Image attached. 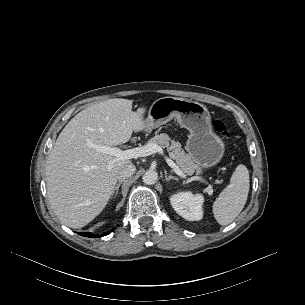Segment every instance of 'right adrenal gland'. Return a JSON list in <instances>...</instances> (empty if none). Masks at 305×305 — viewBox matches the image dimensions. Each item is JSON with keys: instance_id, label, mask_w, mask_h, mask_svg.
<instances>
[{"instance_id": "2a0ac1e0", "label": "right adrenal gland", "mask_w": 305, "mask_h": 305, "mask_svg": "<svg viewBox=\"0 0 305 305\" xmlns=\"http://www.w3.org/2000/svg\"><path fill=\"white\" fill-rule=\"evenodd\" d=\"M123 182L122 181H119L115 187H114V190H113V193H112V198L115 199L117 194H118V191H119V187L120 185L122 184Z\"/></svg>"}]
</instances>
